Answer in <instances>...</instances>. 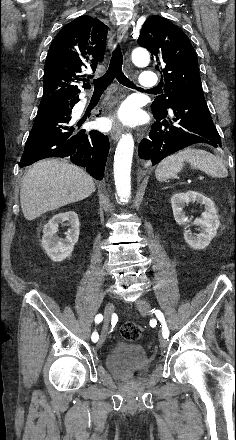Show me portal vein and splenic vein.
<instances>
[{
	"label": "portal vein and splenic vein",
	"mask_w": 236,
	"mask_h": 440,
	"mask_svg": "<svg viewBox=\"0 0 236 440\" xmlns=\"http://www.w3.org/2000/svg\"><path fill=\"white\" fill-rule=\"evenodd\" d=\"M199 179H203V177H202V176H200V177H199Z\"/></svg>",
	"instance_id": "18ae733b"
}]
</instances>
